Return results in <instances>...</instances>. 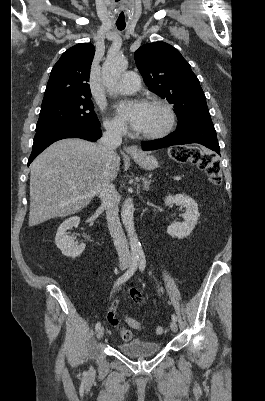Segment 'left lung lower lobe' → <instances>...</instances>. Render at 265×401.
I'll use <instances>...</instances> for the list:
<instances>
[{"label":"left lung lower lobe","mask_w":265,"mask_h":401,"mask_svg":"<svg viewBox=\"0 0 265 401\" xmlns=\"http://www.w3.org/2000/svg\"><path fill=\"white\" fill-rule=\"evenodd\" d=\"M199 143L220 154V147L211 117L197 118L181 126L175 132L157 140L141 142L143 150H155L172 145Z\"/></svg>","instance_id":"left-lung-lower-lobe-1"}]
</instances>
